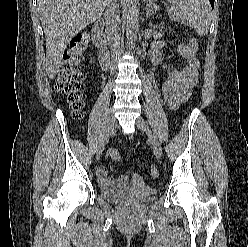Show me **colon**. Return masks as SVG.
Masks as SVG:
<instances>
[{
	"label": "colon",
	"mask_w": 248,
	"mask_h": 247,
	"mask_svg": "<svg viewBox=\"0 0 248 247\" xmlns=\"http://www.w3.org/2000/svg\"><path fill=\"white\" fill-rule=\"evenodd\" d=\"M88 43V36L81 34L76 36L72 41L69 50L65 53L61 70L57 77L56 90L60 94L66 96L67 101L72 109L74 118L82 117L83 100L82 95L84 91L83 77L79 71V63L82 59L83 51ZM189 48L193 54L196 55L198 50V42L191 39ZM176 84L174 81L167 79L161 87L160 97L164 104L170 105L175 93ZM109 156L116 161L121 160L120 154L111 150ZM151 176L153 178L158 176V170L153 166L151 167Z\"/></svg>",
	"instance_id": "colon-1"
}]
</instances>
